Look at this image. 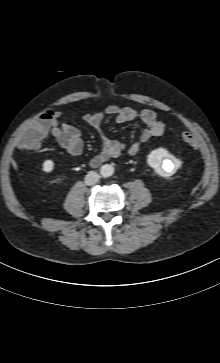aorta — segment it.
Listing matches in <instances>:
<instances>
[{
  "mask_svg": "<svg viewBox=\"0 0 220 363\" xmlns=\"http://www.w3.org/2000/svg\"><path fill=\"white\" fill-rule=\"evenodd\" d=\"M100 173L103 177H110L114 173V168L110 164H105L101 167Z\"/></svg>",
  "mask_w": 220,
  "mask_h": 363,
  "instance_id": "obj_1",
  "label": "aorta"
}]
</instances>
